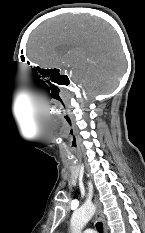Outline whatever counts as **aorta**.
Returning <instances> with one entry per match:
<instances>
[{
    "mask_svg": "<svg viewBox=\"0 0 145 233\" xmlns=\"http://www.w3.org/2000/svg\"><path fill=\"white\" fill-rule=\"evenodd\" d=\"M96 211V207L93 204H84L78 210H76L71 218V232L82 233L83 228L89 222Z\"/></svg>",
    "mask_w": 145,
    "mask_h": 233,
    "instance_id": "1",
    "label": "aorta"
}]
</instances>
